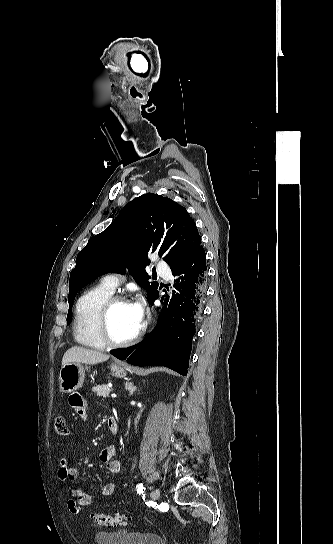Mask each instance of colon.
<instances>
[{
  "instance_id": "5ec220e1",
  "label": "colon",
  "mask_w": 333,
  "mask_h": 544,
  "mask_svg": "<svg viewBox=\"0 0 333 544\" xmlns=\"http://www.w3.org/2000/svg\"><path fill=\"white\" fill-rule=\"evenodd\" d=\"M54 430L58 435L67 436L70 431L67 425V422L63 416H58L54 420ZM93 521L95 525L98 526H118L123 525L127 522V517L121 513L114 514H105V513H96L93 516Z\"/></svg>"
}]
</instances>
